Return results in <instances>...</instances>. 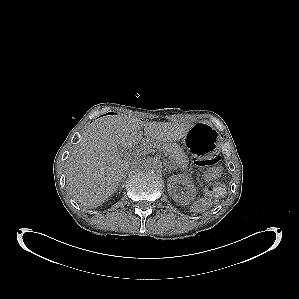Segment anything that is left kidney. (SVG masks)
Returning a JSON list of instances; mask_svg holds the SVG:
<instances>
[{"instance_id": "5707ae66", "label": "left kidney", "mask_w": 299, "mask_h": 299, "mask_svg": "<svg viewBox=\"0 0 299 299\" xmlns=\"http://www.w3.org/2000/svg\"><path fill=\"white\" fill-rule=\"evenodd\" d=\"M177 183H181L186 191L183 193H177ZM167 188L169 195L173 198V200L181 205H188L196 195V189L192 181L182 174L170 176Z\"/></svg>"}]
</instances>
